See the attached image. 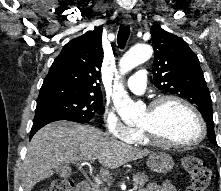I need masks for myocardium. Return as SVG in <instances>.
<instances>
[{
  "instance_id": "myocardium-1",
  "label": "myocardium",
  "mask_w": 221,
  "mask_h": 191,
  "mask_svg": "<svg viewBox=\"0 0 221 191\" xmlns=\"http://www.w3.org/2000/svg\"><path fill=\"white\" fill-rule=\"evenodd\" d=\"M168 102H176L179 103L180 105L184 106L186 109H188L196 118L198 124H199V135L197 136L196 139L190 142H185V143H173V142H168L163 140L162 138L159 137L157 132L154 129L146 128V127H140V131L144 134L145 138L149 142V144L157 147H162V148H171V149H186V148H191L193 146H196L200 144L204 138L206 137L207 133V128H206V123L199 112V110L188 100L177 96V95H163L155 99L150 105L148 110L152 114H156L160 108Z\"/></svg>"
}]
</instances>
